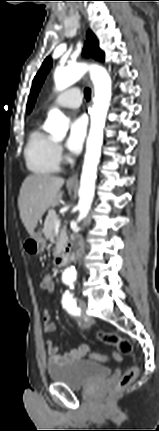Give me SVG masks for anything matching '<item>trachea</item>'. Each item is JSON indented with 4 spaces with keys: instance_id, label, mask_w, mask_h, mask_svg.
I'll return each mask as SVG.
<instances>
[{
    "instance_id": "1",
    "label": "trachea",
    "mask_w": 159,
    "mask_h": 431,
    "mask_svg": "<svg viewBox=\"0 0 159 431\" xmlns=\"http://www.w3.org/2000/svg\"><path fill=\"white\" fill-rule=\"evenodd\" d=\"M84 96H85L86 100L89 101V99L91 97V90L89 88H85Z\"/></svg>"
}]
</instances>
